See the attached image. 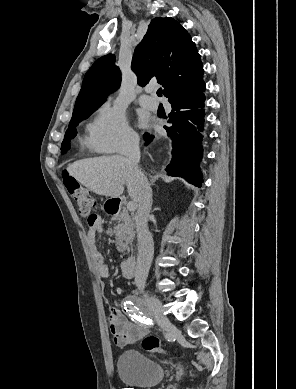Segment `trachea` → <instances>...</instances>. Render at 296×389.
Masks as SVG:
<instances>
[{"label": "trachea", "mask_w": 296, "mask_h": 389, "mask_svg": "<svg viewBox=\"0 0 296 389\" xmlns=\"http://www.w3.org/2000/svg\"><path fill=\"white\" fill-rule=\"evenodd\" d=\"M157 95H158L159 97L162 96V88H159V89L157 90Z\"/></svg>", "instance_id": "3493384b"}]
</instances>
